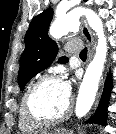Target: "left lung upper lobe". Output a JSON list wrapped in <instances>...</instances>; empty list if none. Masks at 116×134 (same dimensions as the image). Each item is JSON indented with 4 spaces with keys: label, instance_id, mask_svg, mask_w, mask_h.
<instances>
[{
    "label": "left lung upper lobe",
    "instance_id": "1",
    "mask_svg": "<svg viewBox=\"0 0 116 134\" xmlns=\"http://www.w3.org/2000/svg\"><path fill=\"white\" fill-rule=\"evenodd\" d=\"M52 18L53 9L48 8L34 17L30 23L25 35V49L21 55L20 69L18 72L20 90L56 58L58 46L48 36V29ZM58 62L65 64L68 62V58L61 57Z\"/></svg>",
    "mask_w": 116,
    "mask_h": 134
}]
</instances>
